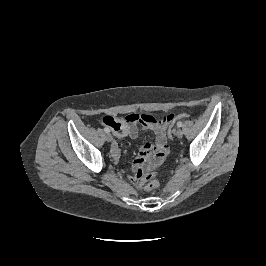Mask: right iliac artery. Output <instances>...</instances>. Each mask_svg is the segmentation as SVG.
Returning <instances> with one entry per match:
<instances>
[{
	"instance_id": "obj_1",
	"label": "right iliac artery",
	"mask_w": 266,
	"mask_h": 266,
	"mask_svg": "<svg viewBox=\"0 0 266 266\" xmlns=\"http://www.w3.org/2000/svg\"><path fill=\"white\" fill-rule=\"evenodd\" d=\"M104 131H105L106 133H109V132H110L109 128H107V127L104 128Z\"/></svg>"
}]
</instances>
